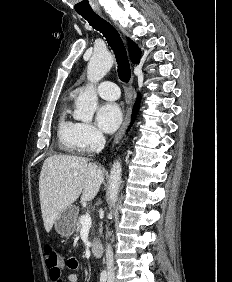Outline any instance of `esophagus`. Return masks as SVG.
Returning a JSON list of instances; mask_svg holds the SVG:
<instances>
[{"label": "esophagus", "instance_id": "1", "mask_svg": "<svg viewBox=\"0 0 232 282\" xmlns=\"http://www.w3.org/2000/svg\"><path fill=\"white\" fill-rule=\"evenodd\" d=\"M98 13L100 15H102L101 11H98ZM132 82H133V78L131 79L130 82V86H129V95L132 96L133 93V87H132ZM130 115H131V107L129 106L128 109L126 110L125 113V117H124V121L122 123V126L120 127L119 131L117 132V134L115 135L114 141H113V145L122 137V135L124 134L127 125L129 123L130 120Z\"/></svg>", "mask_w": 232, "mask_h": 282}]
</instances>
